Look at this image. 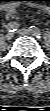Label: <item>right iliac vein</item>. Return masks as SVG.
<instances>
[{"instance_id": "right-iliac-vein-1", "label": "right iliac vein", "mask_w": 50, "mask_h": 111, "mask_svg": "<svg viewBox=\"0 0 50 111\" xmlns=\"http://www.w3.org/2000/svg\"><path fill=\"white\" fill-rule=\"evenodd\" d=\"M5 38L8 41L11 40L13 38V33H11V32L7 33L6 36H5Z\"/></svg>"}]
</instances>
